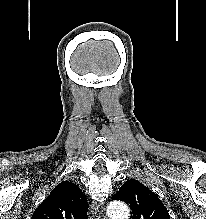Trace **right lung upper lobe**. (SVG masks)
Here are the masks:
<instances>
[{"label": "right lung upper lobe", "instance_id": "obj_1", "mask_svg": "<svg viewBox=\"0 0 206 219\" xmlns=\"http://www.w3.org/2000/svg\"><path fill=\"white\" fill-rule=\"evenodd\" d=\"M86 196L69 181L58 184L39 205L31 219H88Z\"/></svg>", "mask_w": 206, "mask_h": 219}]
</instances>
